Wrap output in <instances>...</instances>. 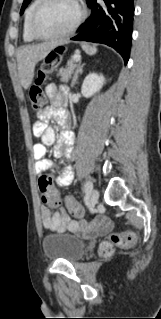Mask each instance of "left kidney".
Wrapping results in <instances>:
<instances>
[{
    "label": "left kidney",
    "mask_w": 161,
    "mask_h": 319,
    "mask_svg": "<svg viewBox=\"0 0 161 319\" xmlns=\"http://www.w3.org/2000/svg\"><path fill=\"white\" fill-rule=\"evenodd\" d=\"M105 83L103 75L90 73L86 76L81 87V93L84 97L90 98L95 93L99 92Z\"/></svg>",
    "instance_id": "1"
}]
</instances>
